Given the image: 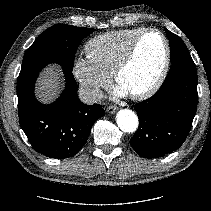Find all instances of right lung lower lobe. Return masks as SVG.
Segmentation results:
<instances>
[{"label":"right lung lower lobe","instance_id":"obj_1","mask_svg":"<svg viewBox=\"0 0 211 211\" xmlns=\"http://www.w3.org/2000/svg\"><path fill=\"white\" fill-rule=\"evenodd\" d=\"M46 65H36L19 74V121L37 152L49 158H69L85 145L95 120L104 116L105 111L99 104L89 106L80 102L72 71L64 68L66 87L60 97L49 105L38 102L34 85Z\"/></svg>","mask_w":211,"mask_h":211}]
</instances>
